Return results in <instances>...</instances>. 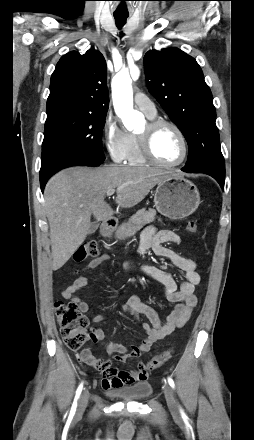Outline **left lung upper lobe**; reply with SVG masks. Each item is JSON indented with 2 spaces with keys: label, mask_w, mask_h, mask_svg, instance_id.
<instances>
[{
  "label": "left lung upper lobe",
  "mask_w": 254,
  "mask_h": 440,
  "mask_svg": "<svg viewBox=\"0 0 254 440\" xmlns=\"http://www.w3.org/2000/svg\"><path fill=\"white\" fill-rule=\"evenodd\" d=\"M149 92L187 140L185 171L225 174L212 93L196 60L173 47L144 56Z\"/></svg>",
  "instance_id": "5c2ea615"
}]
</instances>
